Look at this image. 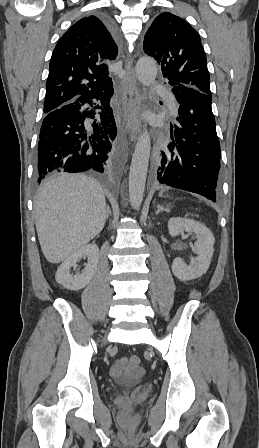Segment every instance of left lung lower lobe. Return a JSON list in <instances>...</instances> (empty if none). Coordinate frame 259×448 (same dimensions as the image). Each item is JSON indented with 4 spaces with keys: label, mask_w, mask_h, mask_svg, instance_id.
Segmentation results:
<instances>
[{
    "label": "left lung lower lobe",
    "mask_w": 259,
    "mask_h": 448,
    "mask_svg": "<svg viewBox=\"0 0 259 448\" xmlns=\"http://www.w3.org/2000/svg\"><path fill=\"white\" fill-rule=\"evenodd\" d=\"M172 87L179 103L178 124L171 125L172 142L155 168V182L215 201L221 151L212 96L184 84Z\"/></svg>",
    "instance_id": "left-lung-lower-lobe-1"
}]
</instances>
